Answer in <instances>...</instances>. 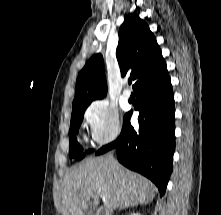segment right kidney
<instances>
[{"instance_id":"1","label":"right kidney","mask_w":221,"mask_h":215,"mask_svg":"<svg viewBox=\"0 0 221 215\" xmlns=\"http://www.w3.org/2000/svg\"><path fill=\"white\" fill-rule=\"evenodd\" d=\"M131 215H141L140 213H132Z\"/></svg>"}]
</instances>
